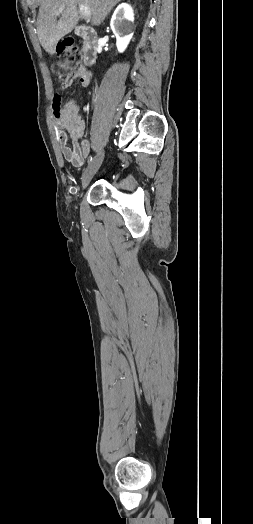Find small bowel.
I'll list each match as a JSON object with an SVG mask.
<instances>
[{
  "mask_svg": "<svg viewBox=\"0 0 253 524\" xmlns=\"http://www.w3.org/2000/svg\"><path fill=\"white\" fill-rule=\"evenodd\" d=\"M64 88V86H62ZM59 99L56 96L54 102ZM55 115V114H54ZM56 136L63 158L73 166H81L89 155L90 143L82 140L86 123L80 114L79 105L73 100H68L55 115ZM71 140V146L67 144Z\"/></svg>",
  "mask_w": 253,
  "mask_h": 524,
  "instance_id": "obj_1",
  "label": "small bowel"
}]
</instances>
